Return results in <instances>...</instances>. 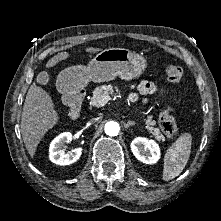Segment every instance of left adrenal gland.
Listing matches in <instances>:
<instances>
[{
    "label": "left adrenal gland",
    "mask_w": 221,
    "mask_h": 221,
    "mask_svg": "<svg viewBox=\"0 0 221 221\" xmlns=\"http://www.w3.org/2000/svg\"><path fill=\"white\" fill-rule=\"evenodd\" d=\"M135 125L134 121H128L127 123L124 124L125 129L129 128L130 126Z\"/></svg>",
    "instance_id": "left-adrenal-gland-1"
}]
</instances>
